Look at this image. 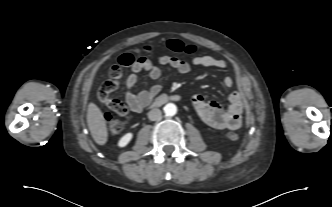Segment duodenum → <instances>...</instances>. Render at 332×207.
<instances>
[{
	"label": "duodenum",
	"mask_w": 332,
	"mask_h": 207,
	"mask_svg": "<svg viewBox=\"0 0 332 207\" xmlns=\"http://www.w3.org/2000/svg\"><path fill=\"white\" fill-rule=\"evenodd\" d=\"M170 99H176V97L170 98L167 95H160L159 97H157L155 99L154 104L157 105V106H159V105H162V104L166 103Z\"/></svg>",
	"instance_id": "410a0bca"
}]
</instances>
